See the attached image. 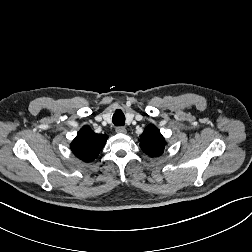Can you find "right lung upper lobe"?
Listing matches in <instances>:
<instances>
[{
	"label": "right lung upper lobe",
	"instance_id": "obj_1",
	"mask_svg": "<svg viewBox=\"0 0 252 252\" xmlns=\"http://www.w3.org/2000/svg\"><path fill=\"white\" fill-rule=\"evenodd\" d=\"M107 139L106 134H96L89 126H83L70 147L76 157L91 162L98 156Z\"/></svg>",
	"mask_w": 252,
	"mask_h": 252
}]
</instances>
